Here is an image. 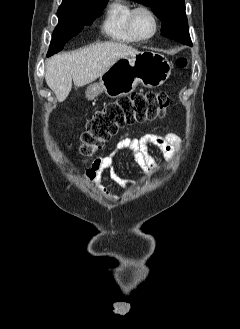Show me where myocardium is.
Returning a JSON list of instances; mask_svg holds the SVG:
<instances>
[{
  "label": "myocardium",
  "mask_w": 240,
  "mask_h": 329,
  "mask_svg": "<svg viewBox=\"0 0 240 329\" xmlns=\"http://www.w3.org/2000/svg\"><path fill=\"white\" fill-rule=\"evenodd\" d=\"M141 12H145L147 13L153 20L154 23V28L153 31L150 35L148 36H142L138 33L136 26H135V21H136V17L139 13ZM129 29L132 33V35L138 40V41H147L152 39L158 32L159 30V19L156 15V13L148 6L145 5H140L135 7L129 17Z\"/></svg>",
  "instance_id": "f54148a6"
}]
</instances>
